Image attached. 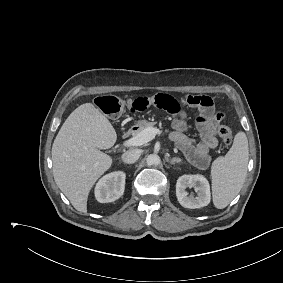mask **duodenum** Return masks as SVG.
I'll use <instances>...</instances> for the list:
<instances>
[{
    "instance_id": "410a0bca",
    "label": "duodenum",
    "mask_w": 283,
    "mask_h": 283,
    "mask_svg": "<svg viewBox=\"0 0 283 283\" xmlns=\"http://www.w3.org/2000/svg\"><path fill=\"white\" fill-rule=\"evenodd\" d=\"M136 131V128H130L127 131L124 132L123 137L128 138L130 137L134 132Z\"/></svg>"
}]
</instances>
